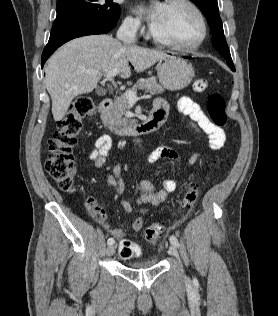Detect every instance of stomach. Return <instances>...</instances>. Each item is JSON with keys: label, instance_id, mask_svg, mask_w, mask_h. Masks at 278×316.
<instances>
[{"label": "stomach", "instance_id": "obj_1", "mask_svg": "<svg viewBox=\"0 0 278 316\" xmlns=\"http://www.w3.org/2000/svg\"><path fill=\"white\" fill-rule=\"evenodd\" d=\"M157 74L164 88L177 91L190 84L194 77V68L185 57L167 55L159 60Z\"/></svg>", "mask_w": 278, "mask_h": 316}]
</instances>
